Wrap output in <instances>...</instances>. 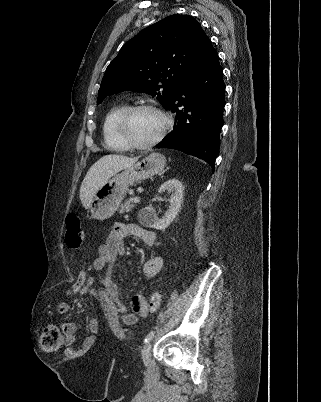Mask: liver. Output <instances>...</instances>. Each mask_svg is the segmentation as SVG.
I'll list each match as a JSON object with an SVG mask.
<instances>
[{"label": "liver", "mask_w": 321, "mask_h": 402, "mask_svg": "<svg viewBox=\"0 0 321 402\" xmlns=\"http://www.w3.org/2000/svg\"><path fill=\"white\" fill-rule=\"evenodd\" d=\"M138 157L130 158L123 155L109 154L101 157L88 170L80 187V200L85 208L91 203V198L113 175L133 165Z\"/></svg>", "instance_id": "obj_1"}]
</instances>
